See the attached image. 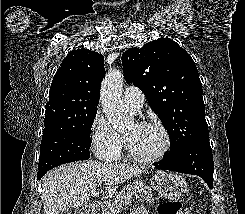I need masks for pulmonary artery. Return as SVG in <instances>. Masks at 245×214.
I'll use <instances>...</instances> for the list:
<instances>
[{
  "mask_svg": "<svg viewBox=\"0 0 245 214\" xmlns=\"http://www.w3.org/2000/svg\"><path fill=\"white\" fill-rule=\"evenodd\" d=\"M145 97L143 92L134 86H129L124 90L123 102L127 108L134 112H139L144 105Z\"/></svg>",
  "mask_w": 245,
  "mask_h": 214,
  "instance_id": "obj_1",
  "label": "pulmonary artery"
}]
</instances>
